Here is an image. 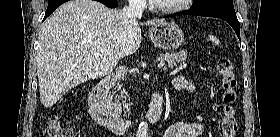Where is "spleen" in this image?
Returning <instances> with one entry per match:
<instances>
[{"instance_id":"spleen-1","label":"spleen","mask_w":280,"mask_h":137,"mask_svg":"<svg viewBox=\"0 0 280 137\" xmlns=\"http://www.w3.org/2000/svg\"><path fill=\"white\" fill-rule=\"evenodd\" d=\"M209 40L212 41L213 43L219 45L220 44V41L219 39H217L215 36L213 35H209Z\"/></svg>"}]
</instances>
